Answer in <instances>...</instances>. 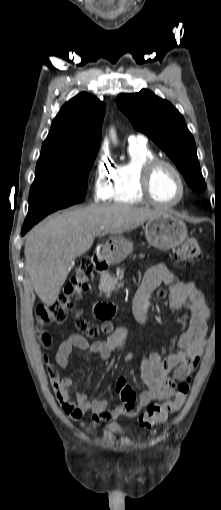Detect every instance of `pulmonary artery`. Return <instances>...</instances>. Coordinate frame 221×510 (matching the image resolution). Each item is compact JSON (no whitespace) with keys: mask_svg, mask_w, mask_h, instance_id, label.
Instances as JSON below:
<instances>
[{"mask_svg":"<svg viewBox=\"0 0 221 510\" xmlns=\"http://www.w3.org/2000/svg\"><path fill=\"white\" fill-rule=\"evenodd\" d=\"M129 143H146L147 138L143 134L130 135L128 138Z\"/></svg>","mask_w":221,"mask_h":510,"instance_id":"pulmonary-artery-1","label":"pulmonary artery"}]
</instances>
